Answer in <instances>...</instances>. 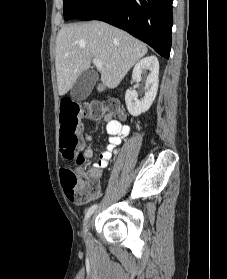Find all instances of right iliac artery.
I'll return each instance as SVG.
<instances>
[{"label": "right iliac artery", "mask_w": 227, "mask_h": 279, "mask_svg": "<svg viewBox=\"0 0 227 279\" xmlns=\"http://www.w3.org/2000/svg\"><path fill=\"white\" fill-rule=\"evenodd\" d=\"M96 207H97L96 204H95V205H92V206L88 209V211L86 212L85 219H84L85 224H86L87 219L92 215V213H93L94 210L96 209ZM86 232H87V231H86V229H85V233H86Z\"/></svg>", "instance_id": "82829eb1"}]
</instances>
